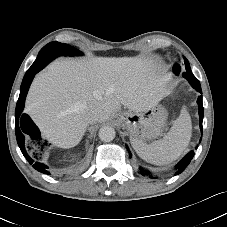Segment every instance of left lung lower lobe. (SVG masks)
<instances>
[{
	"label": "left lung lower lobe",
	"instance_id": "0a47b994",
	"mask_svg": "<svg viewBox=\"0 0 227 227\" xmlns=\"http://www.w3.org/2000/svg\"><path fill=\"white\" fill-rule=\"evenodd\" d=\"M198 92L202 93L201 88H197L196 89ZM198 106H199V116H200V130H201V134H202V121H203V115H204V110H203V104H202V95L199 96L198 100H197ZM201 142V140H200ZM127 150L129 152L130 158H131V154L129 151V148L127 147ZM194 156V151H190L177 165H176V169L178 170L177 174L181 173L190 163L191 159ZM140 173L143 175H149L150 172L146 171L144 169H140Z\"/></svg>",
	"mask_w": 227,
	"mask_h": 227
}]
</instances>
